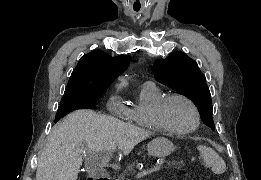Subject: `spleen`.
<instances>
[{"label":"spleen","instance_id":"1","mask_svg":"<svg viewBox=\"0 0 261 180\" xmlns=\"http://www.w3.org/2000/svg\"><path fill=\"white\" fill-rule=\"evenodd\" d=\"M197 150L200 152L205 164L211 168L214 174H224L226 170V164L217 152H214L212 148H206V146H198Z\"/></svg>","mask_w":261,"mask_h":180}]
</instances>
